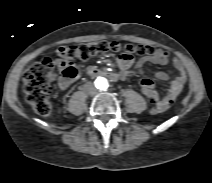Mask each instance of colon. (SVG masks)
Wrapping results in <instances>:
<instances>
[{"label":"colon","mask_w":212,"mask_h":183,"mask_svg":"<svg viewBox=\"0 0 212 183\" xmlns=\"http://www.w3.org/2000/svg\"><path fill=\"white\" fill-rule=\"evenodd\" d=\"M124 54L150 56L157 55L158 50L152 46L146 45H121L116 41H98L82 43L79 45H69L60 47L57 51L62 60L44 58L32 64L23 76V89L26 102L33 111L43 117H48L52 113V105L49 99L52 90V81L54 78L55 67L60 69V75L66 79H75L79 75L78 68L73 60L87 59L89 57L105 54L108 52H120ZM164 56H168L164 51ZM140 89L156 106L160 101L159 94L152 86L150 81H143L139 84Z\"/></svg>","instance_id":"obj_1"}]
</instances>
